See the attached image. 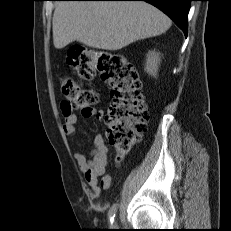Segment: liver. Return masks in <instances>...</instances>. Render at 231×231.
<instances>
[{"mask_svg": "<svg viewBox=\"0 0 231 231\" xmlns=\"http://www.w3.org/2000/svg\"><path fill=\"white\" fill-rule=\"evenodd\" d=\"M52 25L57 49L79 41L88 47L116 51L165 33L171 20L141 1H60Z\"/></svg>", "mask_w": 231, "mask_h": 231, "instance_id": "liver-1", "label": "liver"}]
</instances>
